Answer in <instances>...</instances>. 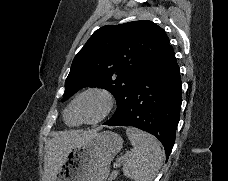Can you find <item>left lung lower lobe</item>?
<instances>
[{"label":"left lung lower lobe","instance_id":"0a47b994","mask_svg":"<svg viewBox=\"0 0 228 181\" xmlns=\"http://www.w3.org/2000/svg\"><path fill=\"white\" fill-rule=\"evenodd\" d=\"M181 87L175 53L168 45L138 77L124 116L105 124L133 126L154 135L163 144L168 159L180 117Z\"/></svg>","mask_w":228,"mask_h":181}]
</instances>
